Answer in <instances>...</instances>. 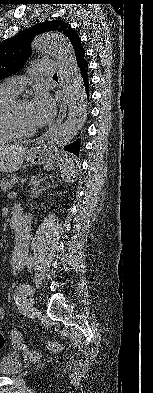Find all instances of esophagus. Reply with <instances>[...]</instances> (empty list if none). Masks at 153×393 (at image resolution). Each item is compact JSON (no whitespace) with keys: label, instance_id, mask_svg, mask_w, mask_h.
I'll return each mask as SVG.
<instances>
[{"label":"esophagus","instance_id":"34e87169","mask_svg":"<svg viewBox=\"0 0 153 393\" xmlns=\"http://www.w3.org/2000/svg\"><path fill=\"white\" fill-rule=\"evenodd\" d=\"M66 110H67L66 103L65 102L61 103L58 117L52 127H56L62 123L63 119L66 116Z\"/></svg>","mask_w":153,"mask_h":393}]
</instances>
